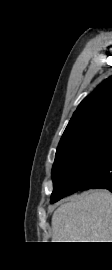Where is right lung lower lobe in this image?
<instances>
[{
    "label": "right lung lower lobe",
    "mask_w": 112,
    "mask_h": 270,
    "mask_svg": "<svg viewBox=\"0 0 112 270\" xmlns=\"http://www.w3.org/2000/svg\"><path fill=\"white\" fill-rule=\"evenodd\" d=\"M89 188H103L112 192V143L102 157L85 170L80 190Z\"/></svg>",
    "instance_id": "obj_1"
}]
</instances>
